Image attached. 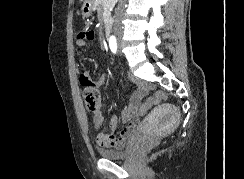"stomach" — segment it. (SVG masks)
I'll return each mask as SVG.
<instances>
[{"label":"stomach","instance_id":"obj_1","mask_svg":"<svg viewBox=\"0 0 244 179\" xmlns=\"http://www.w3.org/2000/svg\"><path fill=\"white\" fill-rule=\"evenodd\" d=\"M94 10L95 8H94L93 0H85L81 8L83 18H89V16H91Z\"/></svg>","mask_w":244,"mask_h":179}]
</instances>
